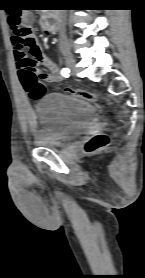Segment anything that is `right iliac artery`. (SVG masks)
I'll use <instances>...</instances> for the list:
<instances>
[{"label": "right iliac artery", "mask_w": 145, "mask_h": 278, "mask_svg": "<svg viewBox=\"0 0 145 278\" xmlns=\"http://www.w3.org/2000/svg\"><path fill=\"white\" fill-rule=\"evenodd\" d=\"M69 73H70V69H69V68H63V69L61 70V75H62L63 77H68V76H69Z\"/></svg>", "instance_id": "right-iliac-artery-1"}]
</instances>
